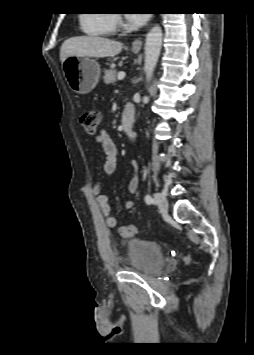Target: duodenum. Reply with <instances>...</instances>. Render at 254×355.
I'll return each mask as SVG.
<instances>
[{
  "label": "duodenum",
  "instance_id": "duodenum-1",
  "mask_svg": "<svg viewBox=\"0 0 254 355\" xmlns=\"http://www.w3.org/2000/svg\"><path fill=\"white\" fill-rule=\"evenodd\" d=\"M133 105L128 104L126 105L125 111L122 115V127L123 131L130 135L134 129V112H133Z\"/></svg>",
  "mask_w": 254,
  "mask_h": 355
}]
</instances>
